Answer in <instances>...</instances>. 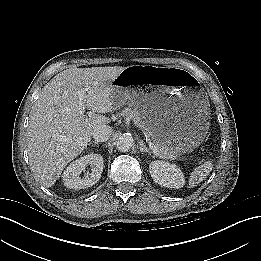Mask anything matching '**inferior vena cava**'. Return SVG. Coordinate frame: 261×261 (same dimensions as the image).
<instances>
[{
  "mask_svg": "<svg viewBox=\"0 0 261 261\" xmlns=\"http://www.w3.org/2000/svg\"><path fill=\"white\" fill-rule=\"evenodd\" d=\"M111 134H112V128L107 125H102L97 127L93 131V138L97 142H105L110 138Z\"/></svg>",
  "mask_w": 261,
  "mask_h": 261,
  "instance_id": "inferior-vena-cava-1",
  "label": "inferior vena cava"
}]
</instances>
